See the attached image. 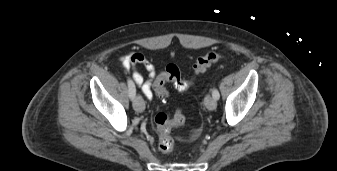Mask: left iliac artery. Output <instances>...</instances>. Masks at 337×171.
<instances>
[{
    "instance_id": "left-iliac-artery-1",
    "label": "left iliac artery",
    "mask_w": 337,
    "mask_h": 171,
    "mask_svg": "<svg viewBox=\"0 0 337 171\" xmlns=\"http://www.w3.org/2000/svg\"><path fill=\"white\" fill-rule=\"evenodd\" d=\"M212 96L215 100H218L220 98V94L216 88H213L212 90Z\"/></svg>"
}]
</instances>
